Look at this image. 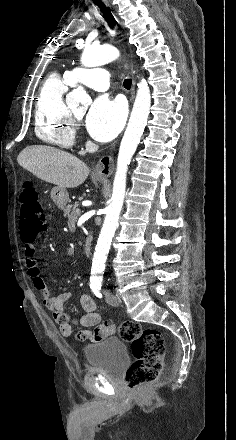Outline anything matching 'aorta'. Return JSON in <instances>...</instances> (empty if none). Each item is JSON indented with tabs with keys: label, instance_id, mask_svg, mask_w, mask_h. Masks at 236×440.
<instances>
[{
	"label": "aorta",
	"instance_id": "1",
	"mask_svg": "<svg viewBox=\"0 0 236 440\" xmlns=\"http://www.w3.org/2000/svg\"><path fill=\"white\" fill-rule=\"evenodd\" d=\"M120 56L119 50L112 45L103 46H87L85 47L81 63L85 67H95L110 63ZM90 102L83 87L79 86L73 89L66 99L69 107H73ZM151 94L148 83L142 79L138 84V90L134 102V106L130 115V119L122 138L118 158L116 174L113 182V193L111 203L105 212V219L95 248V253L92 261L91 280H101L105 269L107 254L110 249L112 238L118 226L119 216L122 210L125 191H126V175L128 165L131 162L137 146L140 142L141 136L147 124V119L150 113Z\"/></svg>",
	"mask_w": 236,
	"mask_h": 440
}]
</instances>
